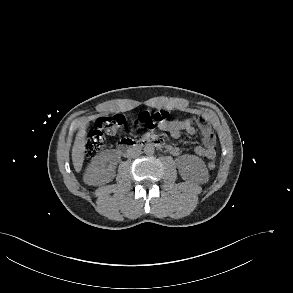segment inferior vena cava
<instances>
[{
	"label": "inferior vena cava",
	"mask_w": 293,
	"mask_h": 293,
	"mask_svg": "<svg viewBox=\"0 0 293 293\" xmlns=\"http://www.w3.org/2000/svg\"><path fill=\"white\" fill-rule=\"evenodd\" d=\"M141 153V149L138 146H134L132 149H130L127 156L130 158H135L138 157Z\"/></svg>",
	"instance_id": "1"
}]
</instances>
